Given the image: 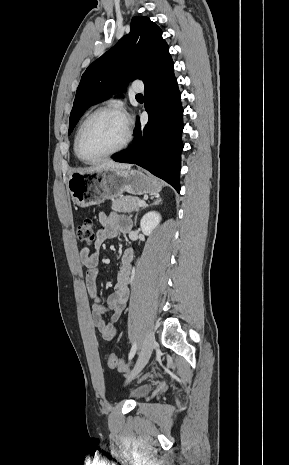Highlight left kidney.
Returning a JSON list of instances; mask_svg holds the SVG:
<instances>
[{
    "label": "left kidney",
    "mask_w": 289,
    "mask_h": 465,
    "mask_svg": "<svg viewBox=\"0 0 289 465\" xmlns=\"http://www.w3.org/2000/svg\"><path fill=\"white\" fill-rule=\"evenodd\" d=\"M161 216L155 211L147 212L140 221V227L145 235H150L152 231L159 225Z\"/></svg>",
    "instance_id": "5707ae66"
}]
</instances>
